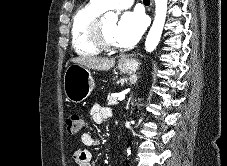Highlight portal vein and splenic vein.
Masks as SVG:
<instances>
[{"mask_svg":"<svg viewBox=\"0 0 227 166\" xmlns=\"http://www.w3.org/2000/svg\"><path fill=\"white\" fill-rule=\"evenodd\" d=\"M124 99H125V96L124 95H122V96L119 97V101H122Z\"/></svg>","mask_w":227,"mask_h":166,"instance_id":"obj_1","label":"portal vein and splenic vein"}]
</instances>
